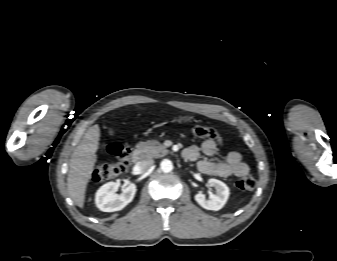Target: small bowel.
<instances>
[{"instance_id": "small-bowel-1", "label": "small bowel", "mask_w": 337, "mask_h": 261, "mask_svg": "<svg viewBox=\"0 0 337 261\" xmlns=\"http://www.w3.org/2000/svg\"><path fill=\"white\" fill-rule=\"evenodd\" d=\"M217 153V145L214 141L206 140L200 146L192 145L183 151V157L189 161H196L201 154L213 157ZM198 170L206 175L219 177H242L249 172L248 165L243 161L242 155L237 151L227 154L223 162H212L201 159L197 163Z\"/></svg>"}]
</instances>
